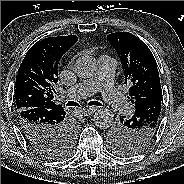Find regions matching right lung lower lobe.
Instances as JSON below:
<instances>
[{"instance_id":"1","label":"right lung lower lobe","mask_w":184,"mask_h":184,"mask_svg":"<svg viewBox=\"0 0 184 184\" xmlns=\"http://www.w3.org/2000/svg\"><path fill=\"white\" fill-rule=\"evenodd\" d=\"M63 107L54 109L28 108L17 112L23 135L36 151L61 145L71 127Z\"/></svg>"}]
</instances>
